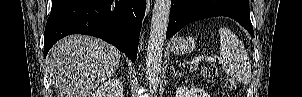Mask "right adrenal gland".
Wrapping results in <instances>:
<instances>
[{"instance_id": "2a0ac1e0", "label": "right adrenal gland", "mask_w": 302, "mask_h": 97, "mask_svg": "<svg viewBox=\"0 0 302 97\" xmlns=\"http://www.w3.org/2000/svg\"><path fill=\"white\" fill-rule=\"evenodd\" d=\"M121 69H122V70L124 69L123 65H121Z\"/></svg>"}]
</instances>
